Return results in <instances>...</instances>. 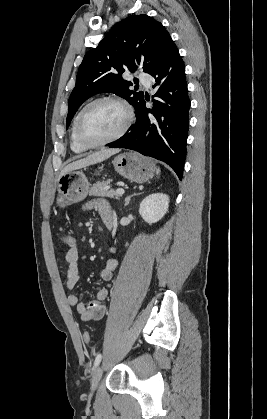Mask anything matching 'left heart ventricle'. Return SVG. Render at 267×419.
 <instances>
[{
    "label": "left heart ventricle",
    "mask_w": 267,
    "mask_h": 419,
    "mask_svg": "<svg viewBox=\"0 0 267 419\" xmlns=\"http://www.w3.org/2000/svg\"><path fill=\"white\" fill-rule=\"evenodd\" d=\"M125 121L123 108L114 102H100L86 110L81 121V135L95 143L114 135Z\"/></svg>",
    "instance_id": "obj_1"
}]
</instances>
